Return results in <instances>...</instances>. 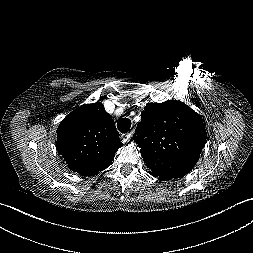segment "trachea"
<instances>
[{
  "label": "trachea",
  "instance_id": "obj_1",
  "mask_svg": "<svg viewBox=\"0 0 253 253\" xmlns=\"http://www.w3.org/2000/svg\"><path fill=\"white\" fill-rule=\"evenodd\" d=\"M131 121L128 118H122L117 123V128L121 133H127L130 130Z\"/></svg>",
  "mask_w": 253,
  "mask_h": 253
}]
</instances>
